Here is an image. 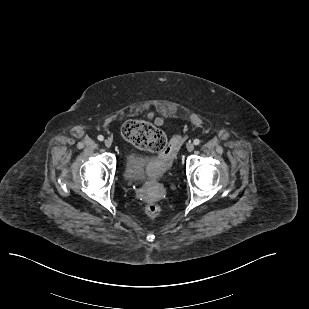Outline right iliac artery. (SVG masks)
Instances as JSON below:
<instances>
[{
    "label": "right iliac artery",
    "mask_w": 309,
    "mask_h": 309,
    "mask_svg": "<svg viewBox=\"0 0 309 309\" xmlns=\"http://www.w3.org/2000/svg\"><path fill=\"white\" fill-rule=\"evenodd\" d=\"M97 138H98L99 141H103L104 140V137L102 135H99Z\"/></svg>",
    "instance_id": "right-iliac-artery-1"
}]
</instances>
